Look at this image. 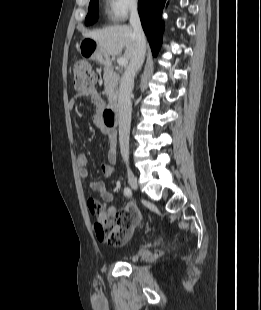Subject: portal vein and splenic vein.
<instances>
[{"mask_svg":"<svg viewBox=\"0 0 261 310\" xmlns=\"http://www.w3.org/2000/svg\"><path fill=\"white\" fill-rule=\"evenodd\" d=\"M117 63L120 66H126L128 64V60L125 59L124 57H120L117 59Z\"/></svg>","mask_w":261,"mask_h":310,"instance_id":"18ae733b","label":"portal vein and splenic vein"}]
</instances>
